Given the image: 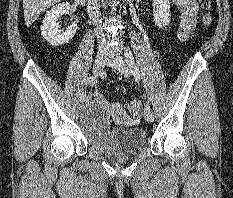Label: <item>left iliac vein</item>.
Here are the masks:
<instances>
[{
	"label": "left iliac vein",
	"instance_id": "left-iliac-vein-1",
	"mask_svg": "<svg viewBox=\"0 0 233 198\" xmlns=\"http://www.w3.org/2000/svg\"><path fill=\"white\" fill-rule=\"evenodd\" d=\"M107 63L110 67L117 70L124 77L130 76V70L127 64L125 63V61L123 60V58L119 54L115 53V54L109 55ZM144 116L148 122L154 121V114L149 106L145 107Z\"/></svg>",
	"mask_w": 233,
	"mask_h": 198
}]
</instances>
